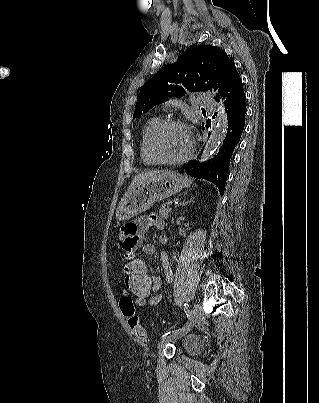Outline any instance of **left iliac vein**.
Segmentation results:
<instances>
[{"instance_id": "4c4485c4", "label": "left iliac vein", "mask_w": 319, "mask_h": 403, "mask_svg": "<svg viewBox=\"0 0 319 403\" xmlns=\"http://www.w3.org/2000/svg\"><path fill=\"white\" fill-rule=\"evenodd\" d=\"M200 316H201V307L199 304H195L192 308L191 315L186 324L184 325V327L174 332L172 335L162 337L160 342L158 343V350L161 351L167 343L175 341L186 335L198 322Z\"/></svg>"}]
</instances>
